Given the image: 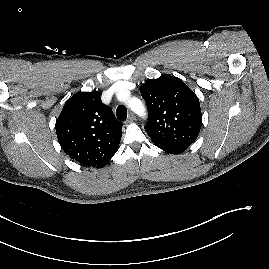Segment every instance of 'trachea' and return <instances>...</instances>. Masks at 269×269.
<instances>
[{
	"label": "trachea",
	"mask_w": 269,
	"mask_h": 269,
	"mask_svg": "<svg viewBox=\"0 0 269 269\" xmlns=\"http://www.w3.org/2000/svg\"><path fill=\"white\" fill-rule=\"evenodd\" d=\"M116 116L119 120L123 121L127 119V110L124 105H119L116 110Z\"/></svg>",
	"instance_id": "3493384b"
}]
</instances>
